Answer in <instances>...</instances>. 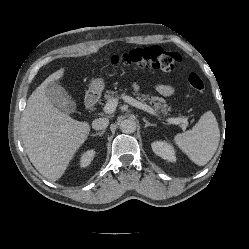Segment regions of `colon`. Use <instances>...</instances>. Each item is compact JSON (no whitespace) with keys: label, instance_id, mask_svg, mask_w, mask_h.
<instances>
[{"label":"colon","instance_id":"obj_1","mask_svg":"<svg viewBox=\"0 0 249 249\" xmlns=\"http://www.w3.org/2000/svg\"><path fill=\"white\" fill-rule=\"evenodd\" d=\"M179 63L180 56L177 52L159 46L137 48L110 58V64L113 67L155 69L166 72L175 71ZM187 81L196 91H202L204 88L203 80L197 73H190Z\"/></svg>","mask_w":249,"mask_h":249}]
</instances>
